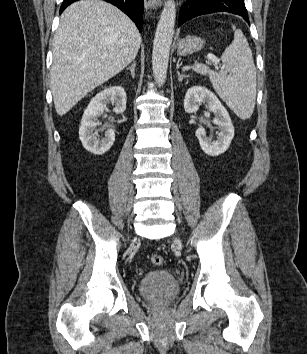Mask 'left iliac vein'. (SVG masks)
I'll return each mask as SVG.
<instances>
[{"label":"left iliac vein","instance_id":"left-iliac-vein-1","mask_svg":"<svg viewBox=\"0 0 307 354\" xmlns=\"http://www.w3.org/2000/svg\"><path fill=\"white\" fill-rule=\"evenodd\" d=\"M176 243H177L178 245H181L180 241H176Z\"/></svg>","mask_w":307,"mask_h":354}]
</instances>
